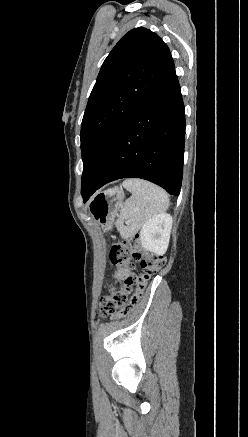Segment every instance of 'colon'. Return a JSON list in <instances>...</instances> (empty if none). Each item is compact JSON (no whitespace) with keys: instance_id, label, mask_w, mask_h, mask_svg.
Masks as SVG:
<instances>
[{"instance_id":"colon-1","label":"colon","mask_w":248,"mask_h":437,"mask_svg":"<svg viewBox=\"0 0 248 437\" xmlns=\"http://www.w3.org/2000/svg\"><path fill=\"white\" fill-rule=\"evenodd\" d=\"M110 260L114 265L123 267H132L139 263L142 269L140 275L132 273L127 276L120 291L100 300V311L104 316L122 319L138 305L147 281L164 266L165 258L142 251L137 237H133L114 244L110 251Z\"/></svg>"}]
</instances>
